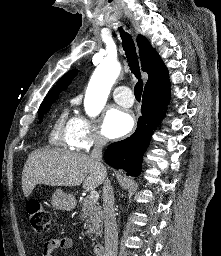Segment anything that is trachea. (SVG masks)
Instances as JSON below:
<instances>
[{"mask_svg": "<svg viewBox=\"0 0 221 256\" xmlns=\"http://www.w3.org/2000/svg\"><path fill=\"white\" fill-rule=\"evenodd\" d=\"M123 43V48L130 66L131 72L137 77L138 82L134 87V94L137 101H140L143 91V81L141 80L139 61L136 53V47L132 36L125 33L122 28H119Z\"/></svg>", "mask_w": 221, "mask_h": 256, "instance_id": "3493384b", "label": "trachea"}]
</instances>
